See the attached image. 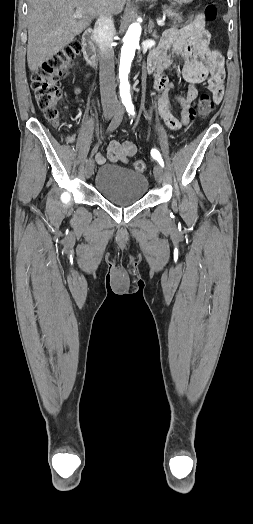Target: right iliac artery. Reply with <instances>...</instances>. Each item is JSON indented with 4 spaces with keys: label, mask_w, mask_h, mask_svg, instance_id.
I'll return each instance as SVG.
<instances>
[{
    "label": "right iliac artery",
    "mask_w": 253,
    "mask_h": 524,
    "mask_svg": "<svg viewBox=\"0 0 253 524\" xmlns=\"http://www.w3.org/2000/svg\"><path fill=\"white\" fill-rule=\"evenodd\" d=\"M123 115H124V107L122 106L119 110H117L115 116L113 117L112 121L110 122V124H109V126L107 128V133H110V132L114 131L120 125V123H121V121L123 119ZM98 146H99V143L91 151L90 156H89V160L93 157V155L97 151Z\"/></svg>",
    "instance_id": "1"
}]
</instances>
